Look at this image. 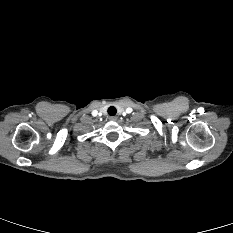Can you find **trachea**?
Listing matches in <instances>:
<instances>
[{"instance_id": "3493384b", "label": "trachea", "mask_w": 233, "mask_h": 233, "mask_svg": "<svg viewBox=\"0 0 233 233\" xmlns=\"http://www.w3.org/2000/svg\"><path fill=\"white\" fill-rule=\"evenodd\" d=\"M117 110L114 106H111L108 108V114L111 116H114L116 114Z\"/></svg>"}]
</instances>
